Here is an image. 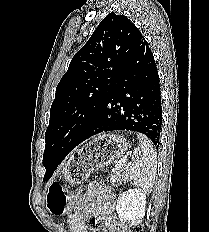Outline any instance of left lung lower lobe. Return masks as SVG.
<instances>
[{"label":"left lung lower lobe","mask_w":209,"mask_h":232,"mask_svg":"<svg viewBox=\"0 0 209 232\" xmlns=\"http://www.w3.org/2000/svg\"><path fill=\"white\" fill-rule=\"evenodd\" d=\"M162 125L160 80L151 49L142 36L76 146L98 133L129 130L146 135L158 148Z\"/></svg>","instance_id":"obj_1"}]
</instances>
